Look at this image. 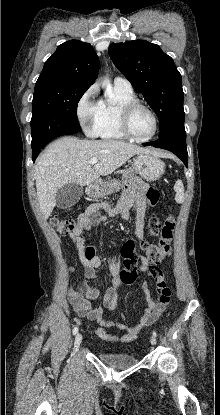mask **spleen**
I'll use <instances>...</instances> for the list:
<instances>
[{
    "label": "spleen",
    "mask_w": 220,
    "mask_h": 415,
    "mask_svg": "<svg viewBox=\"0 0 220 415\" xmlns=\"http://www.w3.org/2000/svg\"><path fill=\"white\" fill-rule=\"evenodd\" d=\"M174 190L176 192L175 195V200L178 203H183L184 202V186L181 180H177L175 185H174Z\"/></svg>",
    "instance_id": "obj_1"
}]
</instances>
